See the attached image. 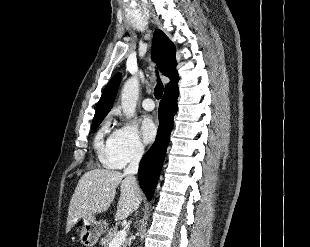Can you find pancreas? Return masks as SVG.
Segmentation results:
<instances>
[{"instance_id":"obj_1","label":"pancreas","mask_w":310,"mask_h":247,"mask_svg":"<svg viewBox=\"0 0 310 247\" xmlns=\"http://www.w3.org/2000/svg\"><path fill=\"white\" fill-rule=\"evenodd\" d=\"M118 233V228L112 227L107 231V234L101 239V244L104 247H109L110 242L112 241V239L116 236V234ZM127 244L126 242H124L120 247H126Z\"/></svg>"}]
</instances>
